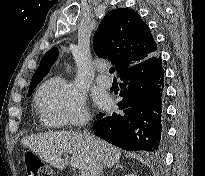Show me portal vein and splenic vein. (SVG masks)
<instances>
[{
    "label": "portal vein and splenic vein",
    "mask_w": 205,
    "mask_h": 176,
    "mask_svg": "<svg viewBox=\"0 0 205 176\" xmlns=\"http://www.w3.org/2000/svg\"><path fill=\"white\" fill-rule=\"evenodd\" d=\"M81 176H90V174H89V172H87V171H83V172L81 173Z\"/></svg>",
    "instance_id": "obj_1"
}]
</instances>
